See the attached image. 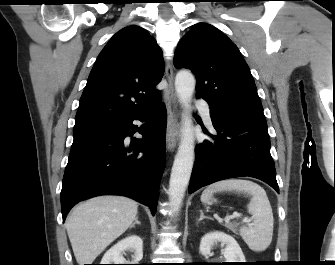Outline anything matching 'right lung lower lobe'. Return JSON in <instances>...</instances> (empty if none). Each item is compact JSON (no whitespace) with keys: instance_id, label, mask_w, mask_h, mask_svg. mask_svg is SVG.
Masks as SVG:
<instances>
[{"instance_id":"98d812e1","label":"right lung lower lobe","mask_w":335,"mask_h":265,"mask_svg":"<svg viewBox=\"0 0 335 265\" xmlns=\"http://www.w3.org/2000/svg\"><path fill=\"white\" fill-rule=\"evenodd\" d=\"M134 120L145 124L140 129ZM166 123L161 99L149 110L74 134L62 182L63 221L79 201L105 194L130 197L154 215L165 164ZM136 131L142 139L125 140Z\"/></svg>"}]
</instances>
